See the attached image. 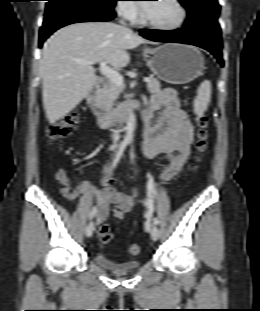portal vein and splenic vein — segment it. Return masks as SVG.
<instances>
[{"label":"portal vein and splenic vein","instance_id":"portal-vein-and-splenic-vein-1","mask_svg":"<svg viewBox=\"0 0 260 311\" xmlns=\"http://www.w3.org/2000/svg\"><path fill=\"white\" fill-rule=\"evenodd\" d=\"M74 61L79 64H85V65H93L95 63L93 61H87V60H82V59H75ZM100 72L103 75H105L107 78H109L113 83L117 84L118 86H123L122 75L118 71L107 66L105 62H100ZM144 81L148 83L150 79L146 77L144 78Z\"/></svg>","mask_w":260,"mask_h":311}]
</instances>
